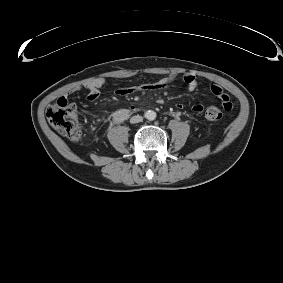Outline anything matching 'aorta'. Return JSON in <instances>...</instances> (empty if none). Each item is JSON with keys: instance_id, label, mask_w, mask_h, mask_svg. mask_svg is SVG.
I'll list each match as a JSON object with an SVG mask.
<instances>
[{"instance_id": "aorta-1", "label": "aorta", "mask_w": 283, "mask_h": 283, "mask_svg": "<svg viewBox=\"0 0 283 283\" xmlns=\"http://www.w3.org/2000/svg\"><path fill=\"white\" fill-rule=\"evenodd\" d=\"M156 112L153 111V110H148L145 112V118L152 121V120H155L156 119Z\"/></svg>"}]
</instances>
